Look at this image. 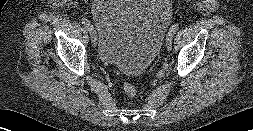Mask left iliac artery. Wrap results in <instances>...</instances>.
<instances>
[{"mask_svg": "<svg viewBox=\"0 0 253 131\" xmlns=\"http://www.w3.org/2000/svg\"><path fill=\"white\" fill-rule=\"evenodd\" d=\"M179 26H180L179 23H175V24L170 28V31L173 32V33L177 32L178 29H179Z\"/></svg>", "mask_w": 253, "mask_h": 131, "instance_id": "44dca946", "label": "left iliac artery"}]
</instances>
